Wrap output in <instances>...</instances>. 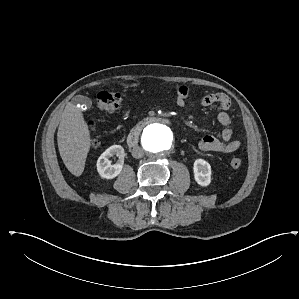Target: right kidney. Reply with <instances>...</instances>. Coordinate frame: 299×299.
<instances>
[{"label":"right kidney","mask_w":299,"mask_h":299,"mask_svg":"<svg viewBox=\"0 0 299 299\" xmlns=\"http://www.w3.org/2000/svg\"><path fill=\"white\" fill-rule=\"evenodd\" d=\"M116 155L119 160L111 164L110 157ZM125 152L122 146L113 145L106 149L97 160V171L102 178L113 179L120 174L124 164Z\"/></svg>","instance_id":"1"}]
</instances>
